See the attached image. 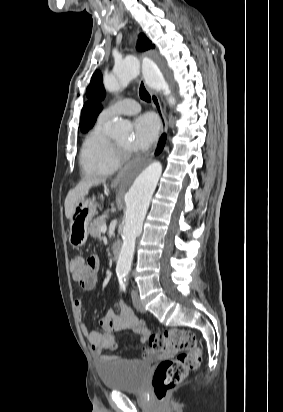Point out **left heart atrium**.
Segmentation results:
<instances>
[{
    "label": "left heart atrium",
    "instance_id": "39dd6f15",
    "mask_svg": "<svg viewBox=\"0 0 283 412\" xmlns=\"http://www.w3.org/2000/svg\"><path fill=\"white\" fill-rule=\"evenodd\" d=\"M159 120L151 113L143 114L134 121V135L130 142L131 151L148 149L157 139L159 134Z\"/></svg>",
    "mask_w": 283,
    "mask_h": 412
}]
</instances>
